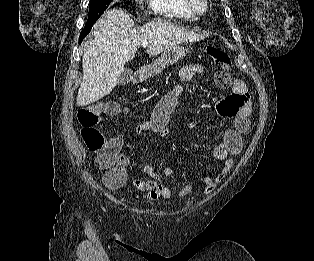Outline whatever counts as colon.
<instances>
[{"mask_svg":"<svg viewBox=\"0 0 314 261\" xmlns=\"http://www.w3.org/2000/svg\"><path fill=\"white\" fill-rule=\"evenodd\" d=\"M210 59L220 65L224 70L230 66L228 55L215 46H209L206 50ZM228 75L225 73L219 78V84L227 83ZM117 106L114 102L95 103L82 106L77 112V119L81 126V136L89 151L96 154L97 166L104 170V183L112 188L121 186L125 179V174L117 169H110L109 164L119 150L116 139H108L98 128L104 114L116 112Z\"/></svg>","mask_w":314,"mask_h":261,"instance_id":"5ec220e1","label":"colon"}]
</instances>
